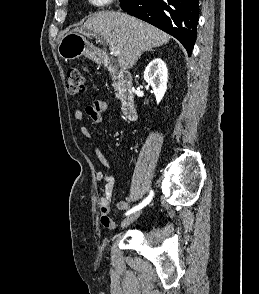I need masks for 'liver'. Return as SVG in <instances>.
<instances>
[{
    "mask_svg": "<svg viewBox=\"0 0 259 294\" xmlns=\"http://www.w3.org/2000/svg\"><path fill=\"white\" fill-rule=\"evenodd\" d=\"M76 31L89 33L119 49V67L132 68L141 54L166 44L170 36L160 29L121 12L101 11L93 14Z\"/></svg>",
    "mask_w": 259,
    "mask_h": 294,
    "instance_id": "6515ba94",
    "label": "liver"
}]
</instances>
